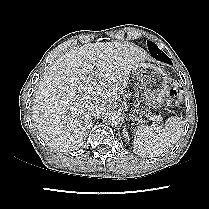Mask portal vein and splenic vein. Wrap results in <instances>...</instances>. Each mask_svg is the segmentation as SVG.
<instances>
[{
    "label": "portal vein and splenic vein",
    "instance_id": "18ae733b",
    "mask_svg": "<svg viewBox=\"0 0 209 209\" xmlns=\"http://www.w3.org/2000/svg\"><path fill=\"white\" fill-rule=\"evenodd\" d=\"M96 85H97V81H96V79H94V80L92 81V83H91V86H92V87H95ZM150 119H151L152 121H157V116L152 115V116L150 117Z\"/></svg>",
    "mask_w": 209,
    "mask_h": 209
}]
</instances>
